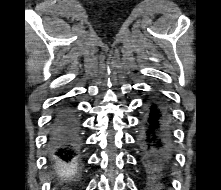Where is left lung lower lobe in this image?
<instances>
[{"mask_svg": "<svg viewBox=\"0 0 221 190\" xmlns=\"http://www.w3.org/2000/svg\"><path fill=\"white\" fill-rule=\"evenodd\" d=\"M141 148L145 155V168L153 174H164L171 158L169 130L165 106L156 98L149 103L144 123Z\"/></svg>", "mask_w": 221, "mask_h": 190, "instance_id": "obj_1", "label": "left lung lower lobe"}]
</instances>
